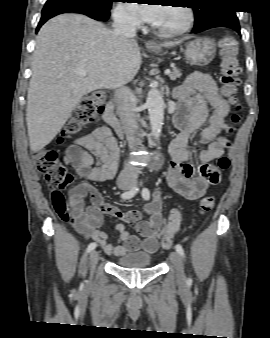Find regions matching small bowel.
I'll return each mask as SVG.
<instances>
[{
  "mask_svg": "<svg viewBox=\"0 0 270 338\" xmlns=\"http://www.w3.org/2000/svg\"><path fill=\"white\" fill-rule=\"evenodd\" d=\"M174 97L184 109L178 111L174 120L180 133L171 143L173 162L167 172V182L182 197L198 200L220 179V174L211 169L210 163L221 157L227 148L229 127L225 117L230 112V105L220 95L213 79L200 72L191 73L175 89ZM199 130L201 147L196 154L199 165L194 166L190 162L192 153L187 149V144ZM64 160L75 168L78 176L85 179L70 188L67 197L61 196L60 199L64 214L73 227L98 243L108 255L140 250L154 253L163 226L159 191H156L155 199L144 206L148 219L142 220L139 211H124L106 203L90 183L111 180L116 172L119 148L111 129L102 125L92 133L79 137L75 144L68 147ZM87 198L91 205L86 204ZM101 212L119 217L126 223H136L143 243L138 236L130 234L124 224H118L115 228L120 245L109 242L108 235L100 229L103 224Z\"/></svg>",
  "mask_w": 270,
  "mask_h": 338,
  "instance_id": "small-bowel-1",
  "label": "small bowel"
}]
</instances>
